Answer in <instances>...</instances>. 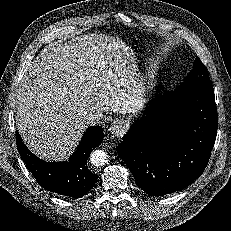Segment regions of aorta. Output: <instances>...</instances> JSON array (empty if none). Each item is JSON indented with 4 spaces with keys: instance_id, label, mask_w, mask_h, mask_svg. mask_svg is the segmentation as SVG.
<instances>
[{
    "instance_id": "obj_1",
    "label": "aorta",
    "mask_w": 231,
    "mask_h": 231,
    "mask_svg": "<svg viewBox=\"0 0 231 231\" xmlns=\"http://www.w3.org/2000/svg\"><path fill=\"white\" fill-rule=\"evenodd\" d=\"M107 153L103 150H95L90 155L91 163L96 166L100 167L103 166L107 162Z\"/></svg>"
}]
</instances>
